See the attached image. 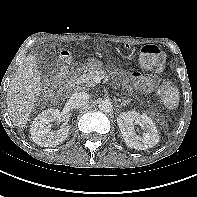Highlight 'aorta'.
Returning a JSON list of instances; mask_svg holds the SVG:
<instances>
[{
	"instance_id": "aorta-1",
	"label": "aorta",
	"mask_w": 197,
	"mask_h": 197,
	"mask_svg": "<svg viewBox=\"0 0 197 197\" xmlns=\"http://www.w3.org/2000/svg\"><path fill=\"white\" fill-rule=\"evenodd\" d=\"M98 107L100 111L104 113H109L112 110L113 105L109 99H105V100L100 101Z\"/></svg>"
}]
</instances>
